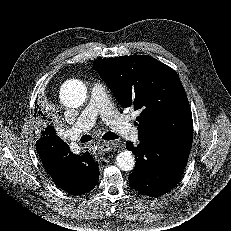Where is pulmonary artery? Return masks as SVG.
<instances>
[{
    "instance_id": "obj_1",
    "label": "pulmonary artery",
    "mask_w": 231,
    "mask_h": 231,
    "mask_svg": "<svg viewBox=\"0 0 231 231\" xmlns=\"http://www.w3.org/2000/svg\"><path fill=\"white\" fill-rule=\"evenodd\" d=\"M98 117H101L109 127L123 138L129 140L138 138V131L131 125L128 118L116 110L109 99L107 87L101 82L93 84L88 105L70 129L69 138L75 140L77 134L92 128Z\"/></svg>"
}]
</instances>
